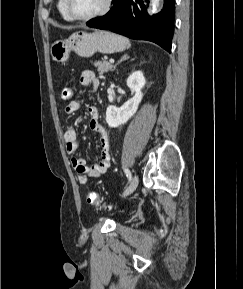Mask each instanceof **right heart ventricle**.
<instances>
[{
	"mask_svg": "<svg viewBox=\"0 0 243 289\" xmlns=\"http://www.w3.org/2000/svg\"><path fill=\"white\" fill-rule=\"evenodd\" d=\"M57 9L64 20L72 21V19L70 18V16L68 15V13L66 11V1L65 0H58Z\"/></svg>",
	"mask_w": 243,
	"mask_h": 289,
	"instance_id": "e07e8e85",
	"label": "right heart ventricle"
}]
</instances>
